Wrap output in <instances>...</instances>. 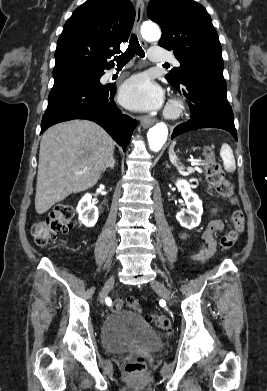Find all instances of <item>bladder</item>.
Instances as JSON below:
<instances>
[{
    "mask_svg": "<svg viewBox=\"0 0 267 391\" xmlns=\"http://www.w3.org/2000/svg\"><path fill=\"white\" fill-rule=\"evenodd\" d=\"M101 338L104 348L113 353L138 347L159 349L162 346L160 334L150 329L139 315L123 309L105 319Z\"/></svg>",
    "mask_w": 267,
    "mask_h": 391,
    "instance_id": "31cf9c89",
    "label": "bladder"
}]
</instances>
